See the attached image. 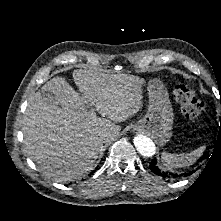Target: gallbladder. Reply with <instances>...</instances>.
<instances>
[{
	"label": "gallbladder",
	"mask_w": 221,
	"mask_h": 221,
	"mask_svg": "<svg viewBox=\"0 0 221 221\" xmlns=\"http://www.w3.org/2000/svg\"><path fill=\"white\" fill-rule=\"evenodd\" d=\"M42 96L48 101H51V102L55 101L54 95H52L51 93H42Z\"/></svg>",
	"instance_id": "obj_1"
}]
</instances>
